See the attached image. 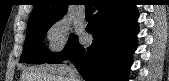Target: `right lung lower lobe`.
<instances>
[{
	"label": "right lung lower lobe",
	"mask_w": 169,
	"mask_h": 81,
	"mask_svg": "<svg viewBox=\"0 0 169 81\" xmlns=\"http://www.w3.org/2000/svg\"><path fill=\"white\" fill-rule=\"evenodd\" d=\"M87 31L93 43L84 48L73 37L66 48L47 63L70 59L86 81H127L136 48L138 12L127 0H96Z\"/></svg>",
	"instance_id": "98d812e1"
}]
</instances>
